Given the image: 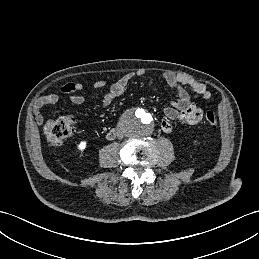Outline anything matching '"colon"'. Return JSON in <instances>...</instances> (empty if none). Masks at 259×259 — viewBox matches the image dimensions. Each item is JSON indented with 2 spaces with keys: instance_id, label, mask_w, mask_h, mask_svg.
Wrapping results in <instances>:
<instances>
[{
  "instance_id": "5ec220e1",
  "label": "colon",
  "mask_w": 259,
  "mask_h": 259,
  "mask_svg": "<svg viewBox=\"0 0 259 259\" xmlns=\"http://www.w3.org/2000/svg\"><path fill=\"white\" fill-rule=\"evenodd\" d=\"M205 122L211 128L216 127V115L212 111H208L205 114ZM74 124L75 121L72 117H60L48 120L43 127V133L48 144L51 146L61 145L72 134Z\"/></svg>"
}]
</instances>
